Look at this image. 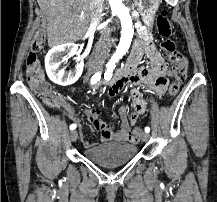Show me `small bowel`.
Returning <instances> with one entry per match:
<instances>
[{"mask_svg":"<svg viewBox=\"0 0 217 202\" xmlns=\"http://www.w3.org/2000/svg\"><path fill=\"white\" fill-rule=\"evenodd\" d=\"M146 53L153 59L152 68H137L133 76L129 79L118 78L108 88L107 95L114 97L119 94L128 85H137L145 83L150 85L154 95H161L165 91V80L162 77L165 70V65L162 57L157 54L155 46L150 41L143 43H136L133 47V54L140 59ZM139 61V60H138ZM132 102V113L128 116V109L125 105L119 108V117L121 125L119 130L111 129L100 118L101 109L98 107L86 106L82 112L84 116L90 121L92 126L100 132L101 142L108 143H122V144H136L142 135V131H132L131 125L137 122L139 115L145 113L146 106H152V101H144L141 93L138 90H133L130 93ZM63 115L71 119H78L77 114L68 103L64 105ZM80 138L86 148H91L95 143H90L84 140L83 133H80Z\"/></svg>","mask_w":217,"mask_h":202,"instance_id":"small-bowel-1","label":"small bowel"}]
</instances>
